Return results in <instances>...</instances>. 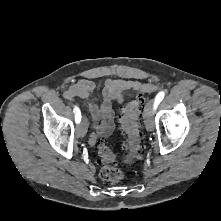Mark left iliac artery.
I'll use <instances>...</instances> for the list:
<instances>
[{
  "label": "left iliac artery",
  "instance_id": "1",
  "mask_svg": "<svg viewBox=\"0 0 221 221\" xmlns=\"http://www.w3.org/2000/svg\"><path fill=\"white\" fill-rule=\"evenodd\" d=\"M165 97V92L164 91H160L156 97H155V101H154V110L157 108V106L160 104V102L164 99Z\"/></svg>",
  "mask_w": 221,
  "mask_h": 221
}]
</instances>
